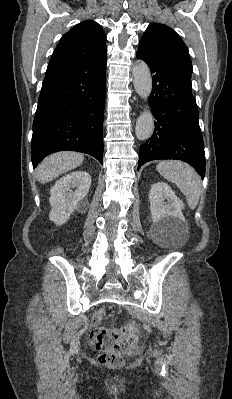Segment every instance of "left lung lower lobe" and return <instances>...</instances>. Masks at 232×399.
<instances>
[{
	"mask_svg": "<svg viewBox=\"0 0 232 399\" xmlns=\"http://www.w3.org/2000/svg\"><path fill=\"white\" fill-rule=\"evenodd\" d=\"M136 57L151 70L153 89L149 103L156 119L152 137L140 146L138 169L151 160L177 159L192 165L203 179L204 143L191 84L156 51L139 47Z\"/></svg>",
	"mask_w": 232,
	"mask_h": 399,
	"instance_id": "left-lung-lower-lobe-1",
	"label": "left lung lower lobe"
}]
</instances>
